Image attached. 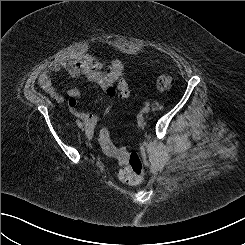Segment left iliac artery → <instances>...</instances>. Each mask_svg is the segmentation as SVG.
<instances>
[{
	"instance_id": "obj_1",
	"label": "left iliac artery",
	"mask_w": 245,
	"mask_h": 245,
	"mask_svg": "<svg viewBox=\"0 0 245 245\" xmlns=\"http://www.w3.org/2000/svg\"><path fill=\"white\" fill-rule=\"evenodd\" d=\"M145 104H146V106H149V105H150V103H149V102H145Z\"/></svg>"
}]
</instances>
